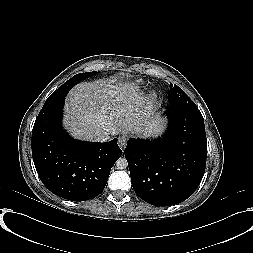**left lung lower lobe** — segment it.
Listing matches in <instances>:
<instances>
[{"instance_id":"0a47b994","label":"left lung lower lobe","mask_w":253,"mask_h":253,"mask_svg":"<svg viewBox=\"0 0 253 253\" xmlns=\"http://www.w3.org/2000/svg\"><path fill=\"white\" fill-rule=\"evenodd\" d=\"M169 127L152 141L131 138L125 148L135 193L155 206H169L190 197L206 165L207 140L198 109L167 108Z\"/></svg>"}]
</instances>
